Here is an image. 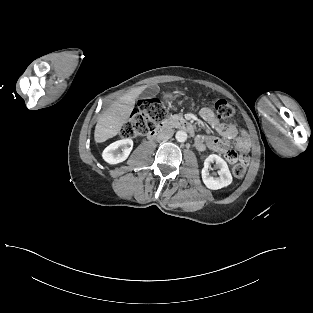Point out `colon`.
<instances>
[{
  "label": "colon",
  "mask_w": 313,
  "mask_h": 313,
  "mask_svg": "<svg viewBox=\"0 0 313 313\" xmlns=\"http://www.w3.org/2000/svg\"><path fill=\"white\" fill-rule=\"evenodd\" d=\"M196 95H200V90H195ZM211 104L217 116L228 119L233 116V107L224 99L213 97ZM168 115V109L163 102L158 99L140 100L133 110L130 119L121 127L120 136L122 138H134L145 135L153 131ZM225 158L233 164V175L237 178L244 176L248 164L247 156L238 155L231 151Z\"/></svg>",
  "instance_id": "colon-1"
}]
</instances>
